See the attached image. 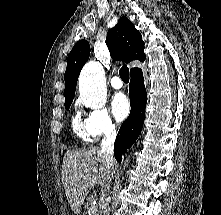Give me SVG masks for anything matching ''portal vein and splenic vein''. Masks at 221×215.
I'll return each instance as SVG.
<instances>
[{"instance_id":"18ae733b","label":"portal vein and splenic vein","mask_w":221,"mask_h":215,"mask_svg":"<svg viewBox=\"0 0 221 215\" xmlns=\"http://www.w3.org/2000/svg\"><path fill=\"white\" fill-rule=\"evenodd\" d=\"M96 211H97L96 206H91V207L88 209V214H89V215H92V214L95 213Z\"/></svg>"}]
</instances>
